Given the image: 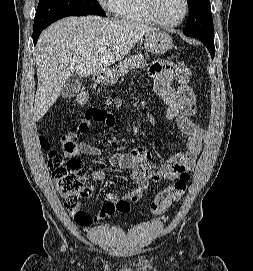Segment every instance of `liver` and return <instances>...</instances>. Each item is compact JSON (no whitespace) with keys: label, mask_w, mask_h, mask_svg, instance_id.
I'll list each match as a JSON object with an SVG mask.
<instances>
[{"label":"liver","mask_w":253,"mask_h":271,"mask_svg":"<svg viewBox=\"0 0 253 271\" xmlns=\"http://www.w3.org/2000/svg\"><path fill=\"white\" fill-rule=\"evenodd\" d=\"M155 27L100 16L67 17L43 31L36 45L38 86L34 120L56 102L66 80L99 74L122 59ZM104 48V52H98Z\"/></svg>","instance_id":"liver-1"}]
</instances>
